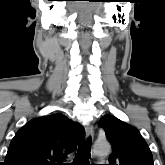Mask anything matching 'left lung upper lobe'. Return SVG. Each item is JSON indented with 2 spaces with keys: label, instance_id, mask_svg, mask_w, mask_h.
<instances>
[{
  "label": "left lung upper lobe",
  "instance_id": "left-lung-upper-lobe-1",
  "mask_svg": "<svg viewBox=\"0 0 165 165\" xmlns=\"http://www.w3.org/2000/svg\"><path fill=\"white\" fill-rule=\"evenodd\" d=\"M99 126L112 146L109 165H154L152 153L135 127L111 115L102 117Z\"/></svg>",
  "mask_w": 165,
  "mask_h": 165
}]
</instances>
